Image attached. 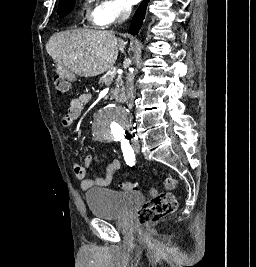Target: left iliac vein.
I'll use <instances>...</instances> for the list:
<instances>
[{"label": "left iliac vein", "mask_w": 256, "mask_h": 267, "mask_svg": "<svg viewBox=\"0 0 256 267\" xmlns=\"http://www.w3.org/2000/svg\"><path fill=\"white\" fill-rule=\"evenodd\" d=\"M132 148H133V151L135 153H139L140 152L139 143L137 141H135V140L132 142Z\"/></svg>", "instance_id": "left-iliac-vein-1"}]
</instances>
